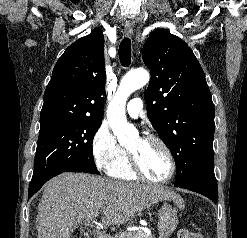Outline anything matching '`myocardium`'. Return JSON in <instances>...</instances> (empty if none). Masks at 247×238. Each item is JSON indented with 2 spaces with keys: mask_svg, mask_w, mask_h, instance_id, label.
Masks as SVG:
<instances>
[{
  "mask_svg": "<svg viewBox=\"0 0 247 238\" xmlns=\"http://www.w3.org/2000/svg\"><path fill=\"white\" fill-rule=\"evenodd\" d=\"M143 139L152 141L162 147V149L164 150V152L166 153L168 157L169 164H170V170L167 176H165L164 178L152 179L144 174V172L142 171L140 167L137 157L131 151H129L130 164H131L134 174L140 180L147 182V183H151V184H165L169 182L174 177L175 172H176V161H175V157H174V154L171 148L163 139L155 135H148L144 137Z\"/></svg>",
  "mask_w": 247,
  "mask_h": 238,
  "instance_id": "1",
  "label": "myocardium"
}]
</instances>
